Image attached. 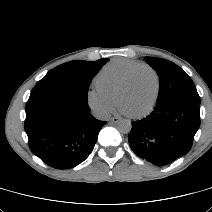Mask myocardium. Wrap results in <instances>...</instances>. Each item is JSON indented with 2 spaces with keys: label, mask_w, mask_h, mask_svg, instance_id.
<instances>
[{
  "label": "myocardium",
  "mask_w": 212,
  "mask_h": 212,
  "mask_svg": "<svg viewBox=\"0 0 212 212\" xmlns=\"http://www.w3.org/2000/svg\"><path fill=\"white\" fill-rule=\"evenodd\" d=\"M141 70H148L149 72H151V74L154 77L155 80V93H154V97L152 102L150 103V105L143 111L139 112V113H134V114H130L131 117L133 118H142L147 116L148 114H150L153 109L155 108L159 96H160V91H161V81H160V76L157 73V71L151 67L150 65L147 64H141L137 67H135L126 77V79L124 80V82L122 83V85L120 86L118 93H117V100L118 102H120V98L122 96V94L127 90V88L131 85L134 76Z\"/></svg>",
  "instance_id": "f54148a6"
}]
</instances>
